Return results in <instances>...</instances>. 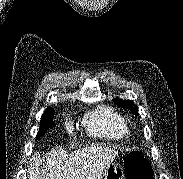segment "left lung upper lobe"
<instances>
[{
  "mask_svg": "<svg viewBox=\"0 0 183 179\" xmlns=\"http://www.w3.org/2000/svg\"><path fill=\"white\" fill-rule=\"evenodd\" d=\"M114 102L120 106V107H123V108H127L128 110H131L132 113L134 114H137L138 115V108L136 105H134V102L133 101H125V100H121L119 98H116L114 99Z\"/></svg>",
  "mask_w": 183,
  "mask_h": 179,
  "instance_id": "left-lung-upper-lobe-1",
  "label": "left lung upper lobe"
}]
</instances>
